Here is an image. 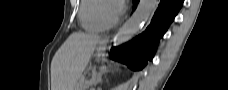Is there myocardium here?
I'll use <instances>...</instances> for the list:
<instances>
[{
  "mask_svg": "<svg viewBox=\"0 0 228 90\" xmlns=\"http://www.w3.org/2000/svg\"><path fill=\"white\" fill-rule=\"evenodd\" d=\"M111 5L113 7L112 1L104 0L98 8V18L105 27H113L118 24L119 17L115 16L113 18H108L105 15V7Z\"/></svg>",
  "mask_w": 228,
  "mask_h": 90,
  "instance_id": "obj_1",
  "label": "myocardium"
}]
</instances>
